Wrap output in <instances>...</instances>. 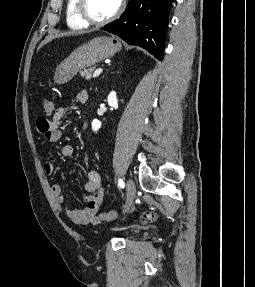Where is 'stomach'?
<instances>
[{"instance_id":"1","label":"stomach","mask_w":255,"mask_h":287,"mask_svg":"<svg viewBox=\"0 0 255 287\" xmlns=\"http://www.w3.org/2000/svg\"><path fill=\"white\" fill-rule=\"evenodd\" d=\"M119 50H121V44L117 38L99 36V38L89 40L86 44H82V46L73 50L65 62V68L56 72V84L70 82L80 70L91 68V66H95V64L102 62V60L112 58L115 52H119Z\"/></svg>"}]
</instances>
